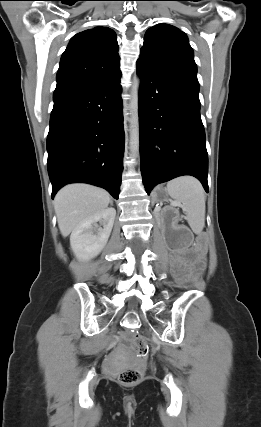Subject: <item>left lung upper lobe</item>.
Returning a JSON list of instances; mask_svg holds the SVG:
<instances>
[{"instance_id": "1", "label": "left lung upper lobe", "mask_w": 261, "mask_h": 427, "mask_svg": "<svg viewBox=\"0 0 261 427\" xmlns=\"http://www.w3.org/2000/svg\"><path fill=\"white\" fill-rule=\"evenodd\" d=\"M139 59L193 76L197 74L187 36L172 25L158 24L147 30Z\"/></svg>"}]
</instances>
